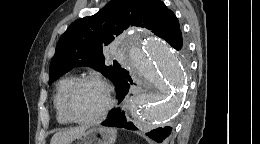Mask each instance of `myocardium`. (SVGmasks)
Masks as SVG:
<instances>
[{
    "label": "myocardium",
    "mask_w": 260,
    "mask_h": 144,
    "mask_svg": "<svg viewBox=\"0 0 260 144\" xmlns=\"http://www.w3.org/2000/svg\"><path fill=\"white\" fill-rule=\"evenodd\" d=\"M86 83H93L98 85L103 93H104V97H105V104L104 107L102 108V110L95 116L92 118H88V119H81V118H77L71 111V107H70V103L71 100L75 94V92L77 91V89ZM112 106V98L109 92V89L106 85V83L97 78V77H93V76H87V77H82V78H78L74 81V83L69 87V89L67 90L64 99H63V110L64 113L66 115V117L70 120V122L73 123H77V124H83V125H89V124H94L99 122L104 116L105 114L109 111V109Z\"/></svg>",
    "instance_id": "1"
}]
</instances>
